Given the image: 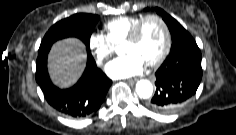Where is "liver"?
<instances>
[{"label":"liver","mask_w":236,"mask_h":135,"mask_svg":"<svg viewBox=\"0 0 236 135\" xmlns=\"http://www.w3.org/2000/svg\"><path fill=\"white\" fill-rule=\"evenodd\" d=\"M83 43L75 38L56 42L49 54L48 68L52 81L61 88L73 85L85 67Z\"/></svg>","instance_id":"liver-1"}]
</instances>
